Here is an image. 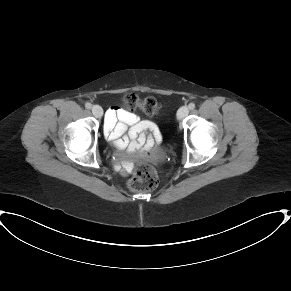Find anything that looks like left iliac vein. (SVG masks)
<instances>
[{"instance_id":"1","label":"left iliac vein","mask_w":291,"mask_h":291,"mask_svg":"<svg viewBox=\"0 0 291 291\" xmlns=\"http://www.w3.org/2000/svg\"><path fill=\"white\" fill-rule=\"evenodd\" d=\"M189 113V108L187 106L181 107L177 112V119L181 120L186 117Z\"/></svg>"}]
</instances>
